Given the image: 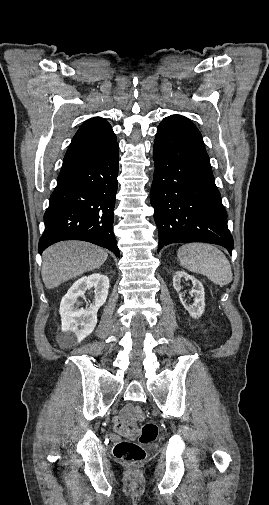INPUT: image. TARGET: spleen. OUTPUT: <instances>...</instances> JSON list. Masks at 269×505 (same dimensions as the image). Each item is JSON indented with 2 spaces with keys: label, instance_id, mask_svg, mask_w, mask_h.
I'll return each mask as SVG.
<instances>
[{
  "label": "spleen",
  "instance_id": "1",
  "mask_svg": "<svg viewBox=\"0 0 269 505\" xmlns=\"http://www.w3.org/2000/svg\"><path fill=\"white\" fill-rule=\"evenodd\" d=\"M180 265L193 273L205 275L214 284L224 286L233 279L231 265L225 254L207 243H188L177 252Z\"/></svg>",
  "mask_w": 269,
  "mask_h": 505
}]
</instances>
